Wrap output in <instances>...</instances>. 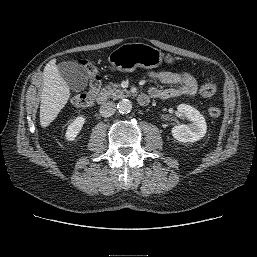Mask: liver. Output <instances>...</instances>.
<instances>
[{"label":"liver","instance_id":"obj_1","mask_svg":"<svg viewBox=\"0 0 257 257\" xmlns=\"http://www.w3.org/2000/svg\"><path fill=\"white\" fill-rule=\"evenodd\" d=\"M70 88L60 75L56 60L48 62L43 72V90L40 104V125L47 127L66 105Z\"/></svg>","mask_w":257,"mask_h":257}]
</instances>
